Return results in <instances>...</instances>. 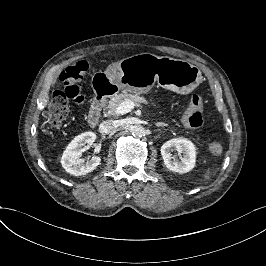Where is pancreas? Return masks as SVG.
Masks as SVG:
<instances>
[{"label": "pancreas", "instance_id": "obj_1", "mask_svg": "<svg viewBox=\"0 0 266 266\" xmlns=\"http://www.w3.org/2000/svg\"><path fill=\"white\" fill-rule=\"evenodd\" d=\"M126 99H129L131 101H133L136 105L137 104H148V101L142 97L139 96L138 94H123V95H119L117 98H115L114 100L110 101L108 104V109L110 111H112L114 113L116 107L123 101H125Z\"/></svg>", "mask_w": 266, "mask_h": 266}]
</instances>
